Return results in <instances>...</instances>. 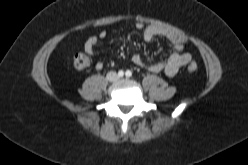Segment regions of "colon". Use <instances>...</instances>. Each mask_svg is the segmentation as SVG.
Listing matches in <instances>:
<instances>
[{"instance_id": "1", "label": "colon", "mask_w": 248, "mask_h": 165, "mask_svg": "<svg viewBox=\"0 0 248 165\" xmlns=\"http://www.w3.org/2000/svg\"><path fill=\"white\" fill-rule=\"evenodd\" d=\"M73 64L77 69H85L90 65V59L87 55L83 53H77L74 55ZM198 66L195 62H191L188 64V71L195 72Z\"/></svg>"}]
</instances>
